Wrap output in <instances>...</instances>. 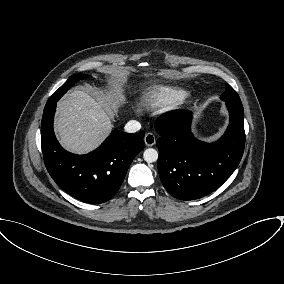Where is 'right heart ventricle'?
I'll return each instance as SVG.
<instances>
[{
  "mask_svg": "<svg viewBox=\"0 0 284 284\" xmlns=\"http://www.w3.org/2000/svg\"><path fill=\"white\" fill-rule=\"evenodd\" d=\"M186 96L187 92L183 89L171 86H157L142 96V103L148 108L165 106L178 103Z\"/></svg>",
  "mask_w": 284,
  "mask_h": 284,
  "instance_id": "right-heart-ventricle-1",
  "label": "right heart ventricle"
}]
</instances>
